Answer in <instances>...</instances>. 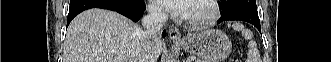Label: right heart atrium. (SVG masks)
Masks as SVG:
<instances>
[{
    "label": "right heart atrium",
    "mask_w": 331,
    "mask_h": 62,
    "mask_svg": "<svg viewBox=\"0 0 331 62\" xmlns=\"http://www.w3.org/2000/svg\"><path fill=\"white\" fill-rule=\"evenodd\" d=\"M151 14L155 18H163L165 16L163 10L160 7L155 6V5L151 6Z\"/></svg>",
    "instance_id": "obj_1"
}]
</instances>
